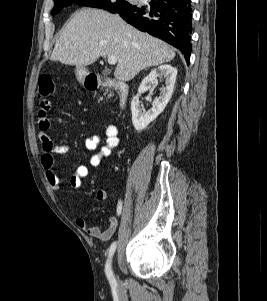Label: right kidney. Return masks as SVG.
<instances>
[{"mask_svg": "<svg viewBox=\"0 0 267 301\" xmlns=\"http://www.w3.org/2000/svg\"><path fill=\"white\" fill-rule=\"evenodd\" d=\"M177 69L171 65H161L156 69H153L141 82L138 89V94L133 98L131 102L132 123L137 131L144 130L149 123L154 121L158 115H160L168 102L170 101L173 89L176 81ZM159 78L165 79V87L162 88V95L156 98L153 103V107L145 112L143 105L139 101L141 93L149 90L152 83Z\"/></svg>", "mask_w": 267, "mask_h": 301, "instance_id": "ca27d5eb", "label": "right kidney"}]
</instances>
